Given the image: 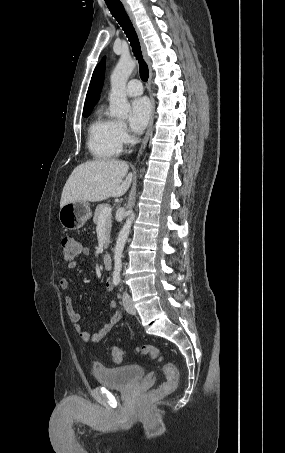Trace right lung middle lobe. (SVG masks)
<instances>
[{
  "label": "right lung middle lobe",
  "instance_id": "1",
  "mask_svg": "<svg viewBox=\"0 0 285 453\" xmlns=\"http://www.w3.org/2000/svg\"><path fill=\"white\" fill-rule=\"evenodd\" d=\"M91 113V110L90 111H86V112H83V116L84 117H88Z\"/></svg>",
  "mask_w": 285,
  "mask_h": 453
}]
</instances>
